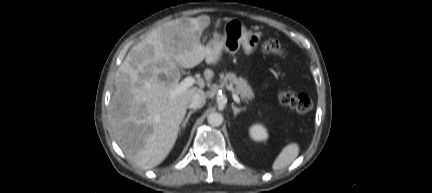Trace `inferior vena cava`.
Here are the masks:
<instances>
[{
	"label": "inferior vena cava",
	"instance_id": "obj_1",
	"mask_svg": "<svg viewBox=\"0 0 432 193\" xmlns=\"http://www.w3.org/2000/svg\"><path fill=\"white\" fill-rule=\"evenodd\" d=\"M206 103L205 94L195 93L190 100L189 107L193 109L202 108Z\"/></svg>",
	"mask_w": 432,
	"mask_h": 193
}]
</instances>
